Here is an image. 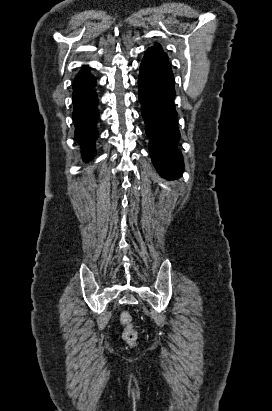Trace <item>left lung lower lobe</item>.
Here are the masks:
<instances>
[{"label": "left lung lower lobe", "mask_w": 272, "mask_h": 411, "mask_svg": "<svg viewBox=\"0 0 272 411\" xmlns=\"http://www.w3.org/2000/svg\"><path fill=\"white\" fill-rule=\"evenodd\" d=\"M138 86L152 162L163 177L176 179L183 172V157L177 147L180 133L174 76L168 58L148 48L140 65Z\"/></svg>", "instance_id": "obj_1"}]
</instances>
